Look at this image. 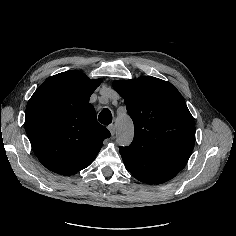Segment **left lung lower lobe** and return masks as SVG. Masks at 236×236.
Returning a JSON list of instances; mask_svg holds the SVG:
<instances>
[{
	"mask_svg": "<svg viewBox=\"0 0 236 236\" xmlns=\"http://www.w3.org/2000/svg\"><path fill=\"white\" fill-rule=\"evenodd\" d=\"M136 178V177H135ZM138 180H140V181H142V182H144V183H148V184H151L150 182H147V181H145V180H142V179H139V178H137Z\"/></svg>",
	"mask_w": 236,
	"mask_h": 236,
	"instance_id": "1",
	"label": "left lung lower lobe"
}]
</instances>
